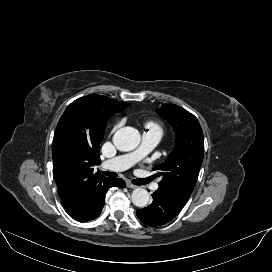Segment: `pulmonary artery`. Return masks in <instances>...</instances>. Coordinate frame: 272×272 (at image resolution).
<instances>
[{"label":"pulmonary artery","mask_w":272,"mask_h":272,"mask_svg":"<svg viewBox=\"0 0 272 272\" xmlns=\"http://www.w3.org/2000/svg\"><path fill=\"white\" fill-rule=\"evenodd\" d=\"M162 133L160 130L148 129L144 132L140 146L133 152L117 156L104 163V167L115 170H126L147 156L160 142ZM155 184L153 189H157Z\"/></svg>","instance_id":"obj_1"}]
</instances>
